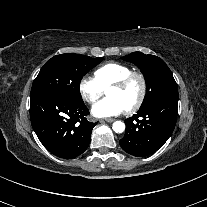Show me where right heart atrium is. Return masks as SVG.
Masks as SVG:
<instances>
[{
  "label": "right heart atrium",
  "mask_w": 207,
  "mask_h": 207,
  "mask_svg": "<svg viewBox=\"0 0 207 207\" xmlns=\"http://www.w3.org/2000/svg\"><path fill=\"white\" fill-rule=\"evenodd\" d=\"M104 89L93 77H85L79 83V92L88 103L96 102L103 94Z\"/></svg>",
  "instance_id": "obj_1"
}]
</instances>
